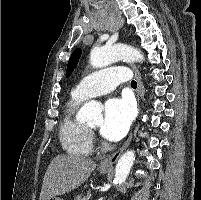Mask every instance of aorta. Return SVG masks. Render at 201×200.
Returning a JSON list of instances; mask_svg holds the SVG:
<instances>
[{
	"instance_id": "762f6f07",
	"label": "aorta",
	"mask_w": 201,
	"mask_h": 200,
	"mask_svg": "<svg viewBox=\"0 0 201 200\" xmlns=\"http://www.w3.org/2000/svg\"><path fill=\"white\" fill-rule=\"evenodd\" d=\"M119 60L142 62L144 57L139 50L125 44L110 47L95 46L90 53V64L95 68L108 66ZM81 112L88 121L100 122L102 120L101 111L95 101L86 103ZM134 160L135 152L132 150L121 155L115 168V183L120 185L125 182Z\"/></svg>"
}]
</instances>
